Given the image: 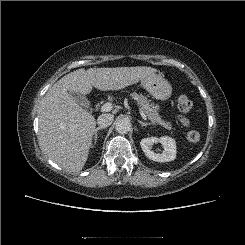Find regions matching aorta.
Listing matches in <instances>:
<instances>
[{
	"label": "aorta",
	"instance_id": "762f6f07",
	"mask_svg": "<svg viewBox=\"0 0 245 245\" xmlns=\"http://www.w3.org/2000/svg\"><path fill=\"white\" fill-rule=\"evenodd\" d=\"M115 130L119 134H127L131 130L130 121L124 118L117 120Z\"/></svg>",
	"mask_w": 245,
	"mask_h": 245
}]
</instances>
